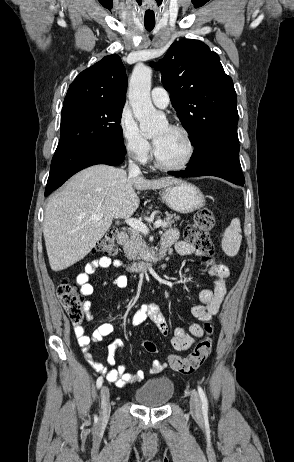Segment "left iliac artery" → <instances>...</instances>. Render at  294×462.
Returning a JSON list of instances; mask_svg holds the SVG:
<instances>
[{
  "mask_svg": "<svg viewBox=\"0 0 294 462\" xmlns=\"http://www.w3.org/2000/svg\"><path fill=\"white\" fill-rule=\"evenodd\" d=\"M198 392H199V396H200L201 403H202V410L207 411L208 410L207 397L205 395V392L203 391V389L199 385H198Z\"/></svg>",
  "mask_w": 294,
  "mask_h": 462,
  "instance_id": "left-iliac-artery-1",
  "label": "left iliac artery"
}]
</instances>
